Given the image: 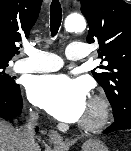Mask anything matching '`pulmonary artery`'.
<instances>
[{"label":"pulmonary artery","mask_w":131,"mask_h":151,"mask_svg":"<svg viewBox=\"0 0 131 151\" xmlns=\"http://www.w3.org/2000/svg\"><path fill=\"white\" fill-rule=\"evenodd\" d=\"M28 57L17 61L14 70L18 73L51 72L60 69L62 59L51 52L38 49H28ZM66 56L70 60H83L88 56L87 46L83 42H72L66 49Z\"/></svg>","instance_id":"pulmonary-artery-1"}]
</instances>
